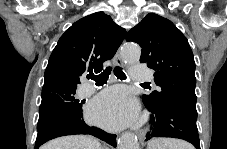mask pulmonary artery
Here are the masks:
<instances>
[{
  "mask_svg": "<svg viewBox=\"0 0 227 149\" xmlns=\"http://www.w3.org/2000/svg\"><path fill=\"white\" fill-rule=\"evenodd\" d=\"M131 72H132V79L134 81L149 82L152 80L151 70L145 66L133 65L131 67ZM92 91H93V86L88 85L84 90V94H90Z\"/></svg>",
  "mask_w": 227,
  "mask_h": 149,
  "instance_id": "obj_1",
  "label": "pulmonary artery"
}]
</instances>
